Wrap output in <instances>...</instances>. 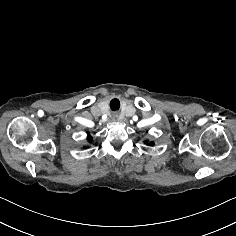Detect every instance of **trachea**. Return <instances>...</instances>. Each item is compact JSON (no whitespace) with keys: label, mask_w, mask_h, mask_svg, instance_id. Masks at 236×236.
I'll return each mask as SVG.
<instances>
[{"label":"trachea","mask_w":236,"mask_h":236,"mask_svg":"<svg viewBox=\"0 0 236 236\" xmlns=\"http://www.w3.org/2000/svg\"><path fill=\"white\" fill-rule=\"evenodd\" d=\"M108 107L111 110H118L121 107V100L118 97H111L108 100Z\"/></svg>","instance_id":"obj_1"}]
</instances>
